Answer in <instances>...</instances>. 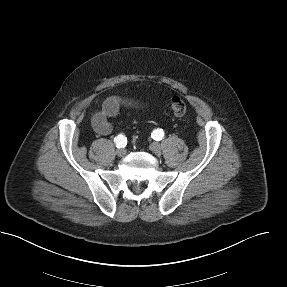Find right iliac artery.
I'll list each match as a JSON object with an SVG mask.
<instances>
[{
	"mask_svg": "<svg viewBox=\"0 0 287 287\" xmlns=\"http://www.w3.org/2000/svg\"><path fill=\"white\" fill-rule=\"evenodd\" d=\"M117 148H124L127 145V138L123 135H118L114 139Z\"/></svg>",
	"mask_w": 287,
	"mask_h": 287,
	"instance_id": "obj_1",
	"label": "right iliac artery"
}]
</instances>
